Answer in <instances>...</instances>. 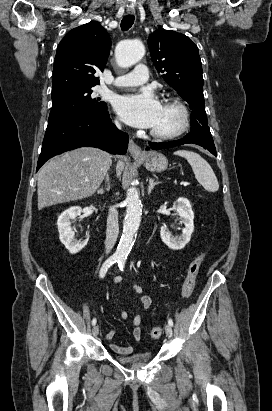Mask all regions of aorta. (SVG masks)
<instances>
[{"mask_svg": "<svg viewBox=\"0 0 272 411\" xmlns=\"http://www.w3.org/2000/svg\"><path fill=\"white\" fill-rule=\"evenodd\" d=\"M144 45L137 40L124 41L115 49L116 62L120 67H130L144 56ZM126 216L123 223L121 239L114 254L118 261H125L134 244V237L139 228L142 216V204L136 188L127 191Z\"/></svg>", "mask_w": 272, "mask_h": 411, "instance_id": "1", "label": "aorta"}]
</instances>
